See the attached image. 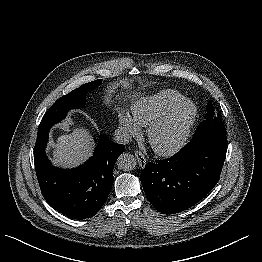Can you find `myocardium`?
Masks as SVG:
<instances>
[{
    "label": "myocardium",
    "mask_w": 262,
    "mask_h": 262,
    "mask_svg": "<svg viewBox=\"0 0 262 262\" xmlns=\"http://www.w3.org/2000/svg\"><path fill=\"white\" fill-rule=\"evenodd\" d=\"M190 105L192 107V111L188 116L185 124L182 126L180 131L177 134L175 141L166 147H161L157 145L155 136L156 134L166 126L172 118L185 106ZM198 116V107L190 99H183L171 108H169L163 115H161L153 124L150 125L148 129V141L153 148V150L160 156H171L177 153L187 142L191 130L195 124V121Z\"/></svg>",
    "instance_id": "f54148a6"
}]
</instances>
